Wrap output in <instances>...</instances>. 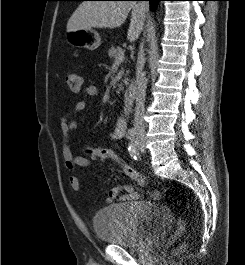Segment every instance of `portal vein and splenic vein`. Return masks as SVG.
Instances as JSON below:
<instances>
[{"label": "portal vein and splenic vein", "mask_w": 245, "mask_h": 265, "mask_svg": "<svg viewBox=\"0 0 245 265\" xmlns=\"http://www.w3.org/2000/svg\"><path fill=\"white\" fill-rule=\"evenodd\" d=\"M124 59H125L124 53H121L115 58V63H121L124 61Z\"/></svg>", "instance_id": "1"}]
</instances>
